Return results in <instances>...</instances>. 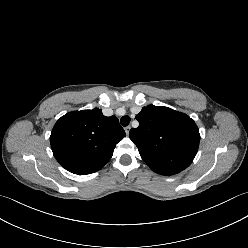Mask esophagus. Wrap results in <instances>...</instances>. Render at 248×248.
<instances>
[{
  "label": "esophagus",
  "mask_w": 248,
  "mask_h": 248,
  "mask_svg": "<svg viewBox=\"0 0 248 248\" xmlns=\"http://www.w3.org/2000/svg\"><path fill=\"white\" fill-rule=\"evenodd\" d=\"M131 127L130 126H127L124 128L126 134L128 135L129 134V131H130Z\"/></svg>",
  "instance_id": "esophagus-1"
}]
</instances>
